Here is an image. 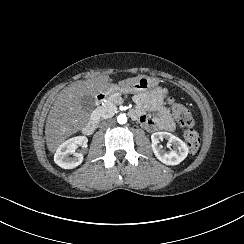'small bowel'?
Instances as JSON below:
<instances>
[{
    "instance_id": "1",
    "label": "small bowel",
    "mask_w": 244,
    "mask_h": 244,
    "mask_svg": "<svg viewBox=\"0 0 244 244\" xmlns=\"http://www.w3.org/2000/svg\"><path fill=\"white\" fill-rule=\"evenodd\" d=\"M138 119L146 124H153L159 128H168L173 125L171 113L166 105L167 90L157 84L152 92H134ZM150 112L149 113H147Z\"/></svg>"
}]
</instances>
